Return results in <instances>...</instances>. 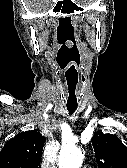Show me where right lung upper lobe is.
<instances>
[{"instance_id": "cb5924a9", "label": "right lung upper lobe", "mask_w": 127, "mask_h": 168, "mask_svg": "<svg viewBox=\"0 0 127 168\" xmlns=\"http://www.w3.org/2000/svg\"><path fill=\"white\" fill-rule=\"evenodd\" d=\"M45 140L35 130L10 139L0 152V168H40Z\"/></svg>"}]
</instances>
